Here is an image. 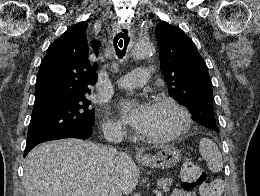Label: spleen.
Instances as JSON below:
<instances>
[{
    "instance_id": "spleen-1",
    "label": "spleen",
    "mask_w": 260,
    "mask_h": 196,
    "mask_svg": "<svg viewBox=\"0 0 260 196\" xmlns=\"http://www.w3.org/2000/svg\"><path fill=\"white\" fill-rule=\"evenodd\" d=\"M199 152L203 160L207 162L211 172H215V174L221 172L223 168L222 154L215 142H212L209 138H202L199 142Z\"/></svg>"
}]
</instances>
